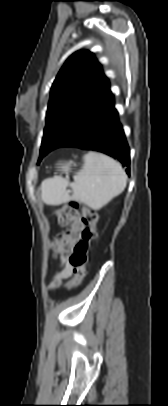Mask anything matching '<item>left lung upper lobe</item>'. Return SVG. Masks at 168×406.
<instances>
[{
	"mask_svg": "<svg viewBox=\"0 0 168 406\" xmlns=\"http://www.w3.org/2000/svg\"><path fill=\"white\" fill-rule=\"evenodd\" d=\"M108 89V79L91 52H77L65 62L51 88L38 163L82 128Z\"/></svg>",
	"mask_w": 168,
	"mask_h": 406,
	"instance_id": "5c2ea615",
	"label": "left lung upper lobe"
}]
</instances>
